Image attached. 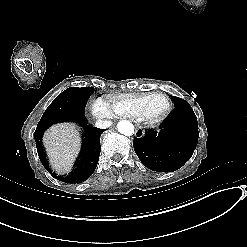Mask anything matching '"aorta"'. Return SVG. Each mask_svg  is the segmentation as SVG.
<instances>
[{"instance_id": "762f6f07", "label": "aorta", "mask_w": 247, "mask_h": 247, "mask_svg": "<svg viewBox=\"0 0 247 247\" xmlns=\"http://www.w3.org/2000/svg\"><path fill=\"white\" fill-rule=\"evenodd\" d=\"M118 131L126 136H131L134 133V126L130 121L122 120L117 124Z\"/></svg>"}]
</instances>
